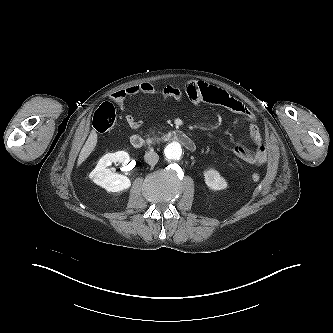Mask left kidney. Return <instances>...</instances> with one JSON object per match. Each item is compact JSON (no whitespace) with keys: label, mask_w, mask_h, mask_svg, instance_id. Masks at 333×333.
Instances as JSON below:
<instances>
[{"label":"left kidney","mask_w":333,"mask_h":333,"mask_svg":"<svg viewBox=\"0 0 333 333\" xmlns=\"http://www.w3.org/2000/svg\"><path fill=\"white\" fill-rule=\"evenodd\" d=\"M204 180L209 189L218 191L227 188L226 180L217 170L209 169L204 171Z\"/></svg>","instance_id":"left-kidney-1"}]
</instances>
